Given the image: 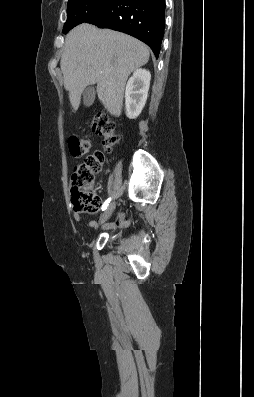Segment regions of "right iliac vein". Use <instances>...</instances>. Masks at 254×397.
Listing matches in <instances>:
<instances>
[{
    "instance_id": "63e3f726",
    "label": "right iliac vein",
    "mask_w": 254,
    "mask_h": 397,
    "mask_svg": "<svg viewBox=\"0 0 254 397\" xmlns=\"http://www.w3.org/2000/svg\"><path fill=\"white\" fill-rule=\"evenodd\" d=\"M115 206H116L115 202H112L106 208V210L104 211V213L102 214V216L100 218V221H99L100 224H103L104 222H106L110 218V216L112 215V213H113V211L115 209Z\"/></svg>"
}]
</instances>
